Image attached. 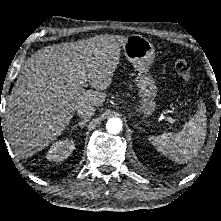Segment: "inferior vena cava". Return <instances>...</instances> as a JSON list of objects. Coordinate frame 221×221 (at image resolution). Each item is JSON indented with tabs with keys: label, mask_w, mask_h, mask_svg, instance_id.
<instances>
[{
	"label": "inferior vena cava",
	"mask_w": 221,
	"mask_h": 221,
	"mask_svg": "<svg viewBox=\"0 0 221 221\" xmlns=\"http://www.w3.org/2000/svg\"><path fill=\"white\" fill-rule=\"evenodd\" d=\"M95 111V107L90 104L82 105L77 108V114L84 119L91 118L95 114Z\"/></svg>",
	"instance_id": "obj_1"
}]
</instances>
